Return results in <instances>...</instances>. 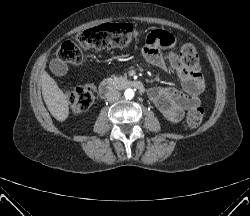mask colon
Instances as JSON below:
<instances>
[{"label": "colon", "instance_id": "colon-1", "mask_svg": "<svg viewBox=\"0 0 250 216\" xmlns=\"http://www.w3.org/2000/svg\"><path fill=\"white\" fill-rule=\"evenodd\" d=\"M139 38L138 30L130 23H105L87 29L76 35L74 41H65L58 49V58L65 63L79 64L83 61L80 47L94 49L125 48ZM182 66L193 73L200 69V60L195 46L185 43L179 54ZM70 107L73 112L86 111L95 101L96 91L91 85H80L67 91ZM204 117L202 107H194L187 114V123L191 127L201 124Z\"/></svg>", "mask_w": 250, "mask_h": 216}]
</instances>
